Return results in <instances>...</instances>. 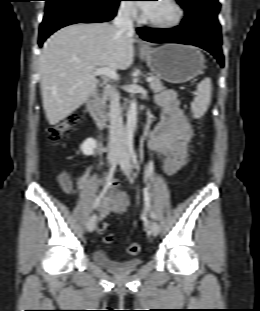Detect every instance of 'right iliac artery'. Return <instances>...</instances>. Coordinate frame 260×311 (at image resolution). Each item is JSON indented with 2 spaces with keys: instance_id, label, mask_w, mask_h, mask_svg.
I'll list each match as a JSON object with an SVG mask.
<instances>
[{
  "instance_id": "right-iliac-artery-1",
  "label": "right iliac artery",
  "mask_w": 260,
  "mask_h": 311,
  "mask_svg": "<svg viewBox=\"0 0 260 311\" xmlns=\"http://www.w3.org/2000/svg\"><path fill=\"white\" fill-rule=\"evenodd\" d=\"M126 145H127V142L122 143L123 147ZM121 150H122V148L120 149V151ZM116 166H117V164H116V162H114L110 168V171H109L107 177H106V182H105V185H104L102 191L99 193V195L95 199L94 208H97L100 205V203H101L102 199L104 198L107 190L109 189V187L111 185V180H112L114 172L116 170Z\"/></svg>"
}]
</instances>
